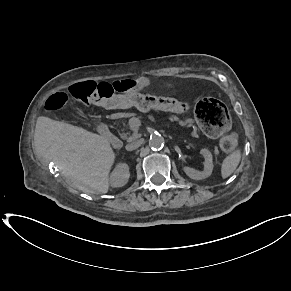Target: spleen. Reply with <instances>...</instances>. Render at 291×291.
<instances>
[{
  "label": "spleen",
  "mask_w": 291,
  "mask_h": 291,
  "mask_svg": "<svg viewBox=\"0 0 291 291\" xmlns=\"http://www.w3.org/2000/svg\"><path fill=\"white\" fill-rule=\"evenodd\" d=\"M240 160H241L240 149L233 151L223 160L221 165V176L223 179L229 177L236 170Z\"/></svg>",
  "instance_id": "1"
}]
</instances>
